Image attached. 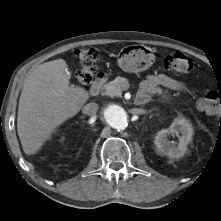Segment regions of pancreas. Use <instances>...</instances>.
I'll return each instance as SVG.
<instances>
[{"label":"pancreas","instance_id":"cf45deb5","mask_svg":"<svg viewBox=\"0 0 221 221\" xmlns=\"http://www.w3.org/2000/svg\"><path fill=\"white\" fill-rule=\"evenodd\" d=\"M126 82L127 80L125 78L118 77L114 81L104 84L102 87V93L111 97L120 96L122 91L127 89L124 86V83ZM155 93L162 96L161 98L163 102H168L170 100V96L167 94V91L163 92L162 89L157 88Z\"/></svg>","mask_w":221,"mask_h":221}]
</instances>
